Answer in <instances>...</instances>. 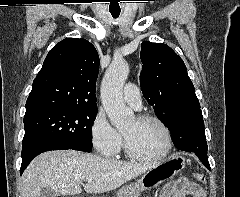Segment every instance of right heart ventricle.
I'll return each instance as SVG.
<instances>
[{"label": "right heart ventricle", "instance_id": "obj_1", "mask_svg": "<svg viewBox=\"0 0 240 197\" xmlns=\"http://www.w3.org/2000/svg\"><path fill=\"white\" fill-rule=\"evenodd\" d=\"M123 155H126L125 151L123 150V145L121 144L120 147L118 148V150L114 153L113 156H115L116 158H120Z\"/></svg>", "mask_w": 240, "mask_h": 197}]
</instances>
